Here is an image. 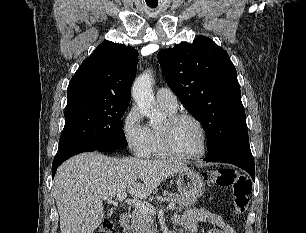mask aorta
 <instances>
[{
    "instance_id": "762f6f07",
    "label": "aorta",
    "mask_w": 306,
    "mask_h": 233,
    "mask_svg": "<svg viewBox=\"0 0 306 233\" xmlns=\"http://www.w3.org/2000/svg\"><path fill=\"white\" fill-rule=\"evenodd\" d=\"M153 76L150 70L138 76L132 86V96L141 114L149 118L151 125L162 122L163 115L155 108V98L152 93Z\"/></svg>"
}]
</instances>
